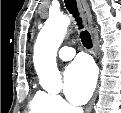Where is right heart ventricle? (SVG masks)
<instances>
[{
  "label": "right heart ventricle",
  "instance_id": "right-heart-ventricle-1",
  "mask_svg": "<svg viewBox=\"0 0 121 113\" xmlns=\"http://www.w3.org/2000/svg\"><path fill=\"white\" fill-rule=\"evenodd\" d=\"M28 110V113H54L57 108L50 93L36 90L30 97Z\"/></svg>",
  "mask_w": 121,
  "mask_h": 113
}]
</instances>
